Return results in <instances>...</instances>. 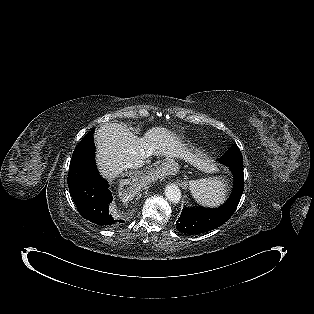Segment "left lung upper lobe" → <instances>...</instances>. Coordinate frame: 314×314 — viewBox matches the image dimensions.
Instances as JSON below:
<instances>
[{"instance_id":"1","label":"left lung upper lobe","mask_w":314,"mask_h":314,"mask_svg":"<svg viewBox=\"0 0 314 314\" xmlns=\"http://www.w3.org/2000/svg\"><path fill=\"white\" fill-rule=\"evenodd\" d=\"M219 160L227 166L243 165L240 149L235 144H233Z\"/></svg>"}]
</instances>
